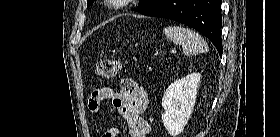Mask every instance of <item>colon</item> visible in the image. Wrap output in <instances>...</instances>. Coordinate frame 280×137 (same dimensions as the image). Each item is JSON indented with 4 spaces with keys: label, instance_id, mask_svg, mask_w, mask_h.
<instances>
[{
    "label": "colon",
    "instance_id": "5ec220e1",
    "mask_svg": "<svg viewBox=\"0 0 280 137\" xmlns=\"http://www.w3.org/2000/svg\"><path fill=\"white\" fill-rule=\"evenodd\" d=\"M122 64L118 59H106L97 64L95 76L99 79H111L119 74ZM116 132H106L104 137H115Z\"/></svg>",
    "mask_w": 280,
    "mask_h": 137
}]
</instances>
